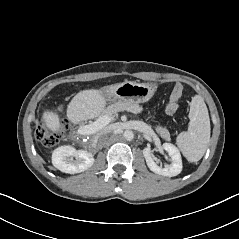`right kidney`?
<instances>
[{
	"mask_svg": "<svg viewBox=\"0 0 239 239\" xmlns=\"http://www.w3.org/2000/svg\"><path fill=\"white\" fill-rule=\"evenodd\" d=\"M93 163L94 158L91 153L85 150H76L69 145L58 147L52 154L53 166L64 173L76 174L84 172Z\"/></svg>",
	"mask_w": 239,
	"mask_h": 239,
	"instance_id": "obj_1",
	"label": "right kidney"
}]
</instances>
